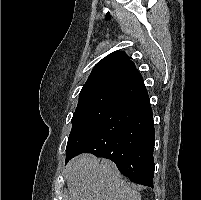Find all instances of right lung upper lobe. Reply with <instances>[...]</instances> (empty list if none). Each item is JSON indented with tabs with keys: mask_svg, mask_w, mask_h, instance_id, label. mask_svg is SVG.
Wrapping results in <instances>:
<instances>
[{
	"mask_svg": "<svg viewBox=\"0 0 201 200\" xmlns=\"http://www.w3.org/2000/svg\"><path fill=\"white\" fill-rule=\"evenodd\" d=\"M109 91L130 100L147 93L143 78L123 51H116L93 68L80 93Z\"/></svg>",
	"mask_w": 201,
	"mask_h": 200,
	"instance_id": "1",
	"label": "right lung upper lobe"
}]
</instances>
